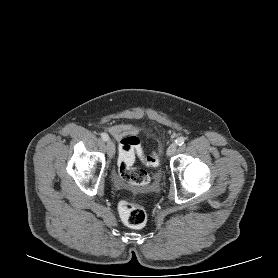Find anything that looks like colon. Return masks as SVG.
<instances>
[{"label":"colon","instance_id":"obj_1","mask_svg":"<svg viewBox=\"0 0 278 278\" xmlns=\"http://www.w3.org/2000/svg\"><path fill=\"white\" fill-rule=\"evenodd\" d=\"M136 155L141 156L142 161L150 167L159 164V158L152 152L148 156L142 155L140 142L137 137H127L120 141L118 170L120 176L127 182L145 186L150 183V176L145 170L134 167ZM118 212L121 220L129 227H143L147 220L145 207L138 201L123 199L119 202Z\"/></svg>","mask_w":278,"mask_h":278}]
</instances>
